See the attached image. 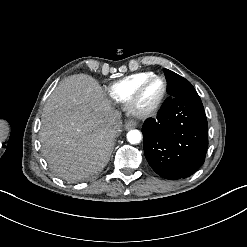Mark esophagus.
I'll use <instances>...</instances> for the list:
<instances>
[{
	"mask_svg": "<svg viewBox=\"0 0 247 247\" xmlns=\"http://www.w3.org/2000/svg\"><path fill=\"white\" fill-rule=\"evenodd\" d=\"M124 126L127 130L135 128L137 126V121L136 120H127L125 122Z\"/></svg>",
	"mask_w": 247,
	"mask_h": 247,
	"instance_id": "esophagus-1",
	"label": "esophagus"
}]
</instances>
